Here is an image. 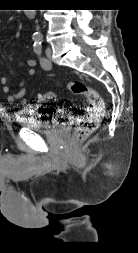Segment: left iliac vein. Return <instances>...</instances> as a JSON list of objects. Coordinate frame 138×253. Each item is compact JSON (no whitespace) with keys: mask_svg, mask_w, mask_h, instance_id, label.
Wrapping results in <instances>:
<instances>
[{"mask_svg":"<svg viewBox=\"0 0 138 253\" xmlns=\"http://www.w3.org/2000/svg\"><path fill=\"white\" fill-rule=\"evenodd\" d=\"M45 53H46L47 58L50 60L51 56H52V52H51V49L49 47L46 48ZM50 68H51V63L49 62L48 69H50Z\"/></svg>","mask_w":138,"mask_h":253,"instance_id":"4c4485c4","label":"left iliac vein"}]
</instances>
